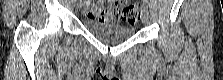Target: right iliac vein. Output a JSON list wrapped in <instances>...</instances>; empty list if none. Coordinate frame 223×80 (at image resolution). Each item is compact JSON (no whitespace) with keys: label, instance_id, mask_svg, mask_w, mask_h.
<instances>
[{"label":"right iliac vein","instance_id":"right-iliac-vein-1","mask_svg":"<svg viewBox=\"0 0 223 80\" xmlns=\"http://www.w3.org/2000/svg\"><path fill=\"white\" fill-rule=\"evenodd\" d=\"M81 7H82L81 2H77V4H76V8H77V10H80V9H81Z\"/></svg>","mask_w":223,"mask_h":80}]
</instances>
